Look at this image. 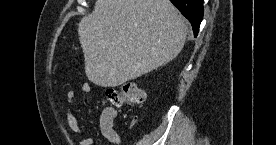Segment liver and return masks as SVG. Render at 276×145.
<instances>
[{"instance_id":"obj_1","label":"liver","mask_w":276,"mask_h":145,"mask_svg":"<svg viewBox=\"0 0 276 145\" xmlns=\"http://www.w3.org/2000/svg\"><path fill=\"white\" fill-rule=\"evenodd\" d=\"M78 35L88 80L116 87L172 61L187 27L169 0H97Z\"/></svg>"}]
</instances>
